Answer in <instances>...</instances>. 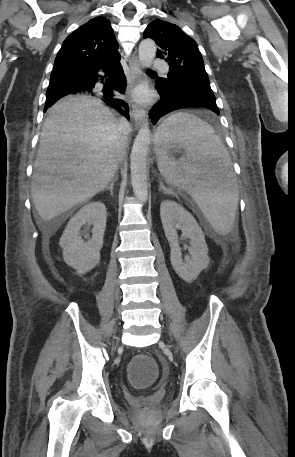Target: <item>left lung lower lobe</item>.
<instances>
[{"label":"left lung lower lobe","mask_w":295,"mask_h":457,"mask_svg":"<svg viewBox=\"0 0 295 457\" xmlns=\"http://www.w3.org/2000/svg\"><path fill=\"white\" fill-rule=\"evenodd\" d=\"M161 100L149 112V117L155 124L163 115L185 107H205L219 115L213 92L200 90L182 92L173 88L162 89L156 84Z\"/></svg>","instance_id":"0a47b994"}]
</instances>
